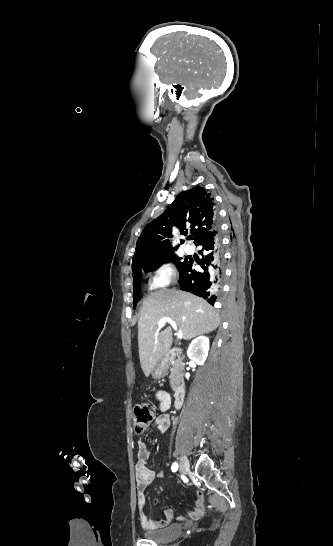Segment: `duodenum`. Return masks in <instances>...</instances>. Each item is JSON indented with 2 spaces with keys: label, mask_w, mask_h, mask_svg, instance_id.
Here are the masks:
<instances>
[{
  "label": "duodenum",
  "mask_w": 333,
  "mask_h": 546,
  "mask_svg": "<svg viewBox=\"0 0 333 546\" xmlns=\"http://www.w3.org/2000/svg\"><path fill=\"white\" fill-rule=\"evenodd\" d=\"M179 353H180L179 349H173V350H171L169 352L167 357H168V359H171V358L175 357ZM185 395H186V385L182 381V382H179L175 387V391H174V405H175V407H180L183 404L184 399H185Z\"/></svg>",
  "instance_id": "duodenum-1"
}]
</instances>
